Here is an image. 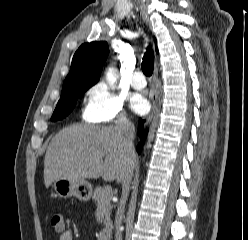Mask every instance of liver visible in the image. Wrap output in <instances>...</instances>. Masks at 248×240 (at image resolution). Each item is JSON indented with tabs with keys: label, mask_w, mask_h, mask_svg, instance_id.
Instances as JSON below:
<instances>
[{
	"label": "liver",
	"mask_w": 248,
	"mask_h": 240,
	"mask_svg": "<svg viewBox=\"0 0 248 240\" xmlns=\"http://www.w3.org/2000/svg\"><path fill=\"white\" fill-rule=\"evenodd\" d=\"M136 166V154L125 145L116 126L72 125L51 140L44 159L48 188L58 179L85 180L100 176L121 182Z\"/></svg>",
	"instance_id": "obj_1"
}]
</instances>
